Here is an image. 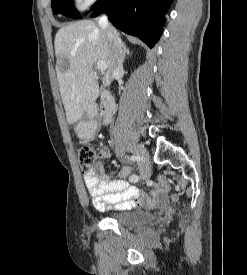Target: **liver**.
Instances as JSON below:
<instances>
[{
	"label": "liver",
	"mask_w": 247,
	"mask_h": 275,
	"mask_svg": "<svg viewBox=\"0 0 247 275\" xmlns=\"http://www.w3.org/2000/svg\"><path fill=\"white\" fill-rule=\"evenodd\" d=\"M56 72L67 122H77L99 95L94 65L105 62L102 79L109 86L112 79L111 55L106 33L94 21L82 20L66 25L55 36ZM61 61H65V68Z\"/></svg>",
	"instance_id": "liver-1"
}]
</instances>
